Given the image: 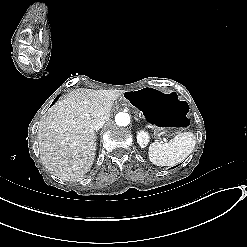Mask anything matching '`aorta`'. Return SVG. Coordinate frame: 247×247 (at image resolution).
Returning a JSON list of instances; mask_svg holds the SVG:
<instances>
[{
  "label": "aorta",
  "mask_w": 247,
  "mask_h": 247,
  "mask_svg": "<svg viewBox=\"0 0 247 247\" xmlns=\"http://www.w3.org/2000/svg\"><path fill=\"white\" fill-rule=\"evenodd\" d=\"M115 122L118 126H128L130 124V115L125 112H119L115 116Z\"/></svg>",
  "instance_id": "1"
}]
</instances>
